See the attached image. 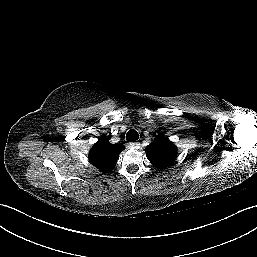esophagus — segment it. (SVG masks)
Returning a JSON list of instances; mask_svg holds the SVG:
<instances>
[{
  "instance_id": "34e87169",
  "label": "esophagus",
  "mask_w": 257,
  "mask_h": 257,
  "mask_svg": "<svg viewBox=\"0 0 257 257\" xmlns=\"http://www.w3.org/2000/svg\"><path fill=\"white\" fill-rule=\"evenodd\" d=\"M129 147H130L131 149H139V148H140V143H138V142H132V143L129 144Z\"/></svg>"
}]
</instances>
